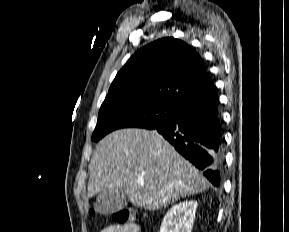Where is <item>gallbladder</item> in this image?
<instances>
[{"label": "gallbladder", "instance_id": "1", "mask_svg": "<svg viewBox=\"0 0 289 232\" xmlns=\"http://www.w3.org/2000/svg\"><path fill=\"white\" fill-rule=\"evenodd\" d=\"M129 202L128 195L120 188L108 190L105 194L99 195L95 202L96 210L108 215L122 210Z\"/></svg>", "mask_w": 289, "mask_h": 232}]
</instances>
